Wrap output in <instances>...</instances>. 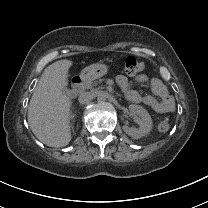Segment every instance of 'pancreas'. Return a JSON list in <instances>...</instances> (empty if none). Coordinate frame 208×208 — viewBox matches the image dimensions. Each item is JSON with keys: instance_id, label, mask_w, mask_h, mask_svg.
Here are the masks:
<instances>
[{"instance_id": "obj_1", "label": "pancreas", "mask_w": 208, "mask_h": 208, "mask_svg": "<svg viewBox=\"0 0 208 208\" xmlns=\"http://www.w3.org/2000/svg\"><path fill=\"white\" fill-rule=\"evenodd\" d=\"M97 85H98V81H91L86 84V89H89L93 92L103 89V87H97Z\"/></svg>"}]
</instances>
